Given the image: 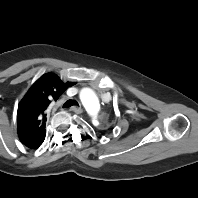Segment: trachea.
<instances>
[{
	"instance_id": "trachea-1",
	"label": "trachea",
	"mask_w": 198,
	"mask_h": 198,
	"mask_svg": "<svg viewBox=\"0 0 198 198\" xmlns=\"http://www.w3.org/2000/svg\"><path fill=\"white\" fill-rule=\"evenodd\" d=\"M73 105H77L78 106L79 104L76 101H74V100H67L65 102L63 108H69V107H71Z\"/></svg>"
}]
</instances>
